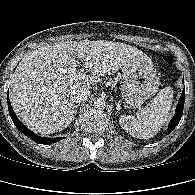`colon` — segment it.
<instances>
[{"mask_svg":"<svg viewBox=\"0 0 195 195\" xmlns=\"http://www.w3.org/2000/svg\"><path fill=\"white\" fill-rule=\"evenodd\" d=\"M163 62H164V64L165 65H167V66H173V64H174V59L171 57V56H164L163 57Z\"/></svg>","mask_w":195,"mask_h":195,"instance_id":"colon-1","label":"colon"}]
</instances>
